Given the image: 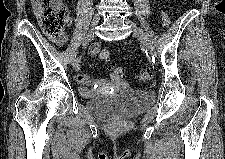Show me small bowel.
Returning a JSON list of instances; mask_svg holds the SVG:
<instances>
[{"label":"small bowel","mask_w":225,"mask_h":159,"mask_svg":"<svg viewBox=\"0 0 225 159\" xmlns=\"http://www.w3.org/2000/svg\"><path fill=\"white\" fill-rule=\"evenodd\" d=\"M35 9H36V7H35ZM36 12H37V10H36ZM51 40L54 43L61 45L65 41V36L63 38L51 37ZM99 50H100V44L96 43L90 47L89 53L91 55H95V54H97V52ZM89 79H90L89 76L84 75V74H81L76 78V82L78 84V89H79L80 93L85 97H90V96L94 95L96 90L98 88H100V86L103 84V81L99 80V81L95 82V84H93L92 86H88L87 82L89 81Z\"/></svg>","instance_id":"c3829d8e"}]
</instances>
